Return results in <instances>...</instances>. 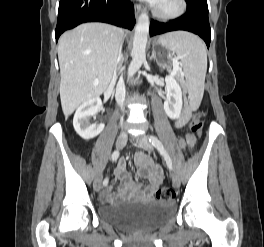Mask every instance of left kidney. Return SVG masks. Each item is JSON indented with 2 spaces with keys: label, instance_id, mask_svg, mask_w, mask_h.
Masks as SVG:
<instances>
[{
  "label": "left kidney",
  "instance_id": "5707ae66",
  "mask_svg": "<svg viewBox=\"0 0 264 247\" xmlns=\"http://www.w3.org/2000/svg\"><path fill=\"white\" fill-rule=\"evenodd\" d=\"M167 96L164 102V110L170 119H178L182 110V90L177 80L168 75L165 78Z\"/></svg>",
  "mask_w": 264,
  "mask_h": 247
}]
</instances>
